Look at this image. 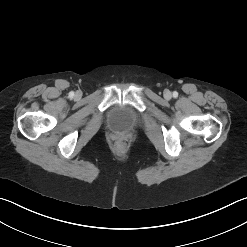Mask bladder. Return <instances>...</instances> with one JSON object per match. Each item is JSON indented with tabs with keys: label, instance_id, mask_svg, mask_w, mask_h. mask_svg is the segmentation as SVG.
Here are the masks:
<instances>
[{
	"label": "bladder",
	"instance_id": "obj_1",
	"mask_svg": "<svg viewBox=\"0 0 247 247\" xmlns=\"http://www.w3.org/2000/svg\"><path fill=\"white\" fill-rule=\"evenodd\" d=\"M106 121L111 131L127 132L140 123V117L130 106L115 104L109 109Z\"/></svg>",
	"mask_w": 247,
	"mask_h": 247
}]
</instances>
